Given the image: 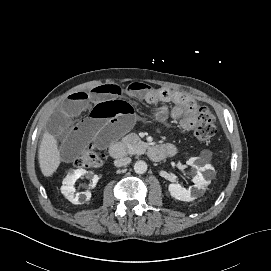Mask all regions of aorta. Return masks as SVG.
<instances>
[{"mask_svg":"<svg viewBox=\"0 0 271 271\" xmlns=\"http://www.w3.org/2000/svg\"><path fill=\"white\" fill-rule=\"evenodd\" d=\"M134 171L137 174H143L147 171V163L145 161H137L134 164Z\"/></svg>","mask_w":271,"mask_h":271,"instance_id":"1","label":"aorta"}]
</instances>
